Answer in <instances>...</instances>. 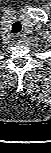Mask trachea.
Returning <instances> with one entry per match:
<instances>
[{
	"instance_id": "3493384b",
	"label": "trachea",
	"mask_w": 51,
	"mask_h": 153,
	"mask_svg": "<svg viewBox=\"0 0 51 153\" xmlns=\"http://www.w3.org/2000/svg\"><path fill=\"white\" fill-rule=\"evenodd\" d=\"M20 30H21V24L19 22H15L12 25V31H13V33H18V32H20Z\"/></svg>"
}]
</instances>
